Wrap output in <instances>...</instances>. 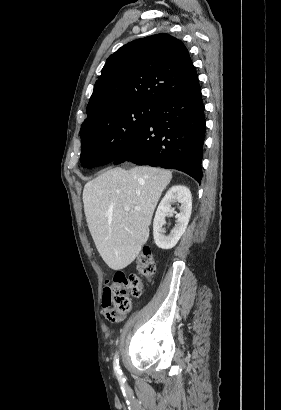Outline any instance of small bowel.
I'll list each match as a JSON object with an SVG mask.
<instances>
[{
    "label": "small bowel",
    "mask_w": 281,
    "mask_h": 410,
    "mask_svg": "<svg viewBox=\"0 0 281 410\" xmlns=\"http://www.w3.org/2000/svg\"><path fill=\"white\" fill-rule=\"evenodd\" d=\"M110 311H111V302H110V296H109V286L106 285L103 289V295H102V312L106 317Z\"/></svg>",
    "instance_id": "obj_1"
}]
</instances>
